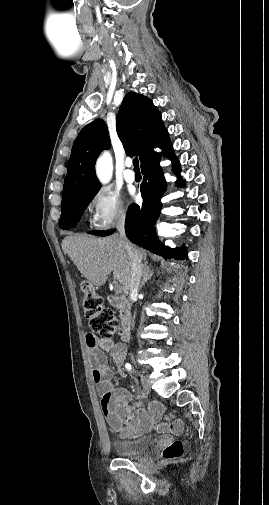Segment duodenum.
Listing matches in <instances>:
<instances>
[{
  "label": "duodenum",
  "mask_w": 269,
  "mask_h": 505,
  "mask_svg": "<svg viewBox=\"0 0 269 505\" xmlns=\"http://www.w3.org/2000/svg\"><path fill=\"white\" fill-rule=\"evenodd\" d=\"M109 304L118 309L121 314V330L120 335L123 342H127L130 339L131 334V324H132V314L131 306L128 300L123 297L109 295L107 297Z\"/></svg>",
  "instance_id": "obj_1"
}]
</instances>
